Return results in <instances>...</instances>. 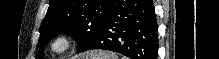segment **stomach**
Segmentation results:
<instances>
[{
  "label": "stomach",
  "instance_id": "obj_1",
  "mask_svg": "<svg viewBox=\"0 0 219 59\" xmlns=\"http://www.w3.org/2000/svg\"><path fill=\"white\" fill-rule=\"evenodd\" d=\"M101 54H97L96 52H92L90 54H87V57H91V59H98L97 57H99Z\"/></svg>",
  "mask_w": 219,
  "mask_h": 59
}]
</instances>
